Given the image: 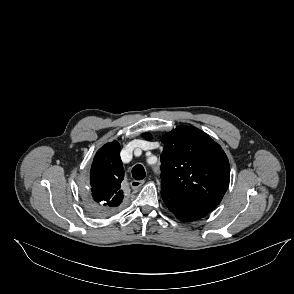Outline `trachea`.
<instances>
[{"instance_id":"obj_1","label":"trachea","mask_w":294,"mask_h":294,"mask_svg":"<svg viewBox=\"0 0 294 294\" xmlns=\"http://www.w3.org/2000/svg\"><path fill=\"white\" fill-rule=\"evenodd\" d=\"M145 169L141 164H137L132 169V176L135 180H142L145 178Z\"/></svg>"}]
</instances>
